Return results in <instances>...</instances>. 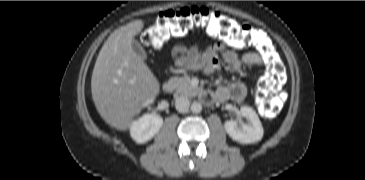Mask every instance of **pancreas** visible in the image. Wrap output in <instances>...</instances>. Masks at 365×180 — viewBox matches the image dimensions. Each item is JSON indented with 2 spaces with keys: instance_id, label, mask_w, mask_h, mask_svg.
Wrapping results in <instances>:
<instances>
[{
  "instance_id": "1",
  "label": "pancreas",
  "mask_w": 365,
  "mask_h": 180,
  "mask_svg": "<svg viewBox=\"0 0 365 180\" xmlns=\"http://www.w3.org/2000/svg\"><path fill=\"white\" fill-rule=\"evenodd\" d=\"M170 81L174 84L176 93L185 96L193 97L196 96L200 89L191 85L190 78L188 76L184 77H173Z\"/></svg>"
}]
</instances>
